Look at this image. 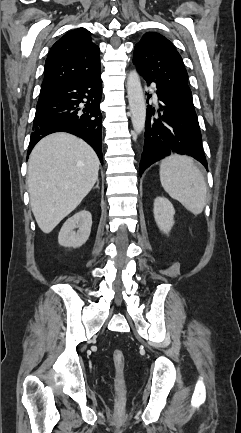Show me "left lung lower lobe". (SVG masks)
<instances>
[{
  "instance_id": "obj_1",
  "label": "left lung lower lobe",
  "mask_w": 241,
  "mask_h": 433,
  "mask_svg": "<svg viewBox=\"0 0 241 433\" xmlns=\"http://www.w3.org/2000/svg\"><path fill=\"white\" fill-rule=\"evenodd\" d=\"M144 79L148 85L152 82ZM156 87L155 93L160 103L156 108L147 106L140 175L151 164L172 154L192 156L208 169L199 124L158 86ZM150 97L148 94V98Z\"/></svg>"
}]
</instances>
